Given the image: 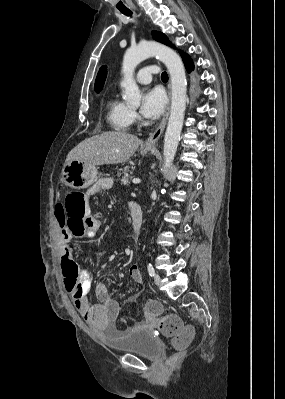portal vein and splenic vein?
<instances>
[{
	"label": "portal vein and splenic vein",
	"mask_w": 285,
	"mask_h": 399,
	"mask_svg": "<svg viewBox=\"0 0 285 399\" xmlns=\"http://www.w3.org/2000/svg\"><path fill=\"white\" fill-rule=\"evenodd\" d=\"M132 182H133L134 184H139V183L141 182V180H140V179H133Z\"/></svg>",
	"instance_id": "18ae733b"
}]
</instances>
